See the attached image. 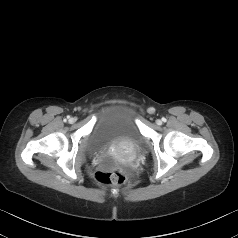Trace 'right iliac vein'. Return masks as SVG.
I'll list each match as a JSON object with an SVG mask.
<instances>
[{"instance_id": "right-iliac-vein-1", "label": "right iliac vein", "mask_w": 238, "mask_h": 238, "mask_svg": "<svg viewBox=\"0 0 238 238\" xmlns=\"http://www.w3.org/2000/svg\"><path fill=\"white\" fill-rule=\"evenodd\" d=\"M69 122H70V123H74V122H75V118H70V119H69Z\"/></svg>"}]
</instances>
